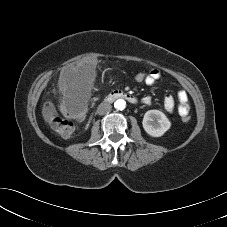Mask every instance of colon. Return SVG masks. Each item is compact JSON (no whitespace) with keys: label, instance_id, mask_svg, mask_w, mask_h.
<instances>
[{"label":"colon","instance_id":"5ec220e1","mask_svg":"<svg viewBox=\"0 0 227 227\" xmlns=\"http://www.w3.org/2000/svg\"><path fill=\"white\" fill-rule=\"evenodd\" d=\"M148 73L138 72L133 75V80L137 83H145ZM61 114L57 111L52 102H46L43 108V114L52 129L61 136H70L74 131L72 120H79L84 116V108L76 102L64 103L61 108ZM184 122L190 120L189 113L180 114Z\"/></svg>","mask_w":227,"mask_h":227}]
</instances>
